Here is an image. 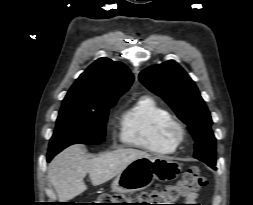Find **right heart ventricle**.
Masks as SVG:
<instances>
[{
    "label": "right heart ventricle",
    "mask_w": 253,
    "mask_h": 205,
    "mask_svg": "<svg viewBox=\"0 0 253 205\" xmlns=\"http://www.w3.org/2000/svg\"><path fill=\"white\" fill-rule=\"evenodd\" d=\"M173 120L167 108L154 98L143 96L121 115L120 140L149 152L171 153L177 145L165 138L164 130Z\"/></svg>",
    "instance_id": "obj_1"
}]
</instances>
